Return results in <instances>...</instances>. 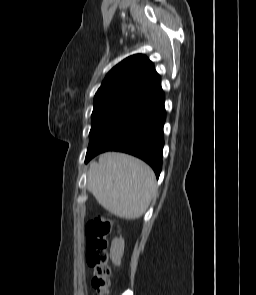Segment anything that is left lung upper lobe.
<instances>
[{
  "mask_svg": "<svg viewBox=\"0 0 256 295\" xmlns=\"http://www.w3.org/2000/svg\"><path fill=\"white\" fill-rule=\"evenodd\" d=\"M162 92L160 76L146 56L136 54L121 61L95 94L89 146Z\"/></svg>",
  "mask_w": 256,
  "mask_h": 295,
  "instance_id": "1",
  "label": "left lung upper lobe"
}]
</instances>
